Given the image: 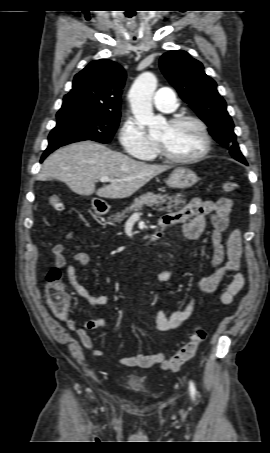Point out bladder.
<instances>
[{
  "label": "bladder",
  "mask_w": 270,
  "mask_h": 453,
  "mask_svg": "<svg viewBox=\"0 0 270 453\" xmlns=\"http://www.w3.org/2000/svg\"><path fill=\"white\" fill-rule=\"evenodd\" d=\"M127 387L132 390H142L145 388V382L142 378L132 375L128 379Z\"/></svg>",
  "instance_id": "31cf9c89"
}]
</instances>
